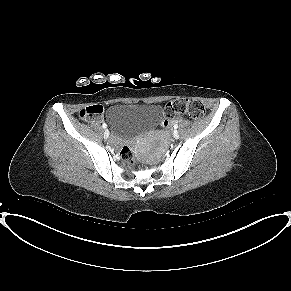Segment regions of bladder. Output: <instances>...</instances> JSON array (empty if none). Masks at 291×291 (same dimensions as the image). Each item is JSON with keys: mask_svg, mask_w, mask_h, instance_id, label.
<instances>
[{"mask_svg": "<svg viewBox=\"0 0 291 291\" xmlns=\"http://www.w3.org/2000/svg\"><path fill=\"white\" fill-rule=\"evenodd\" d=\"M162 119L159 105L113 103L106 112L111 132L120 139H129L153 127Z\"/></svg>", "mask_w": 291, "mask_h": 291, "instance_id": "31cf9c89", "label": "bladder"}]
</instances>
